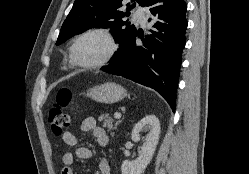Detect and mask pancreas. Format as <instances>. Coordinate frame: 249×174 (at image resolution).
Segmentation results:
<instances>
[{
    "instance_id": "pancreas-1",
    "label": "pancreas",
    "mask_w": 249,
    "mask_h": 174,
    "mask_svg": "<svg viewBox=\"0 0 249 174\" xmlns=\"http://www.w3.org/2000/svg\"><path fill=\"white\" fill-rule=\"evenodd\" d=\"M98 120L101 122L103 121V126L108 129V131L115 130L117 128V125L120 123V121H115L108 115L102 114ZM114 135V133H112Z\"/></svg>"
}]
</instances>
